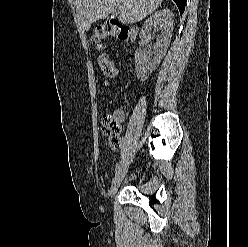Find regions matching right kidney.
<instances>
[{
  "instance_id": "obj_1",
  "label": "right kidney",
  "mask_w": 248,
  "mask_h": 247,
  "mask_svg": "<svg viewBox=\"0 0 248 247\" xmlns=\"http://www.w3.org/2000/svg\"><path fill=\"white\" fill-rule=\"evenodd\" d=\"M173 17L172 11L162 9L153 13L144 22L140 32L141 43L145 44L153 38H156L157 42L154 44V52L151 59L140 48L135 54V70L140 81H144L149 77L166 54L171 41ZM152 31H160V34L154 35Z\"/></svg>"
}]
</instances>
